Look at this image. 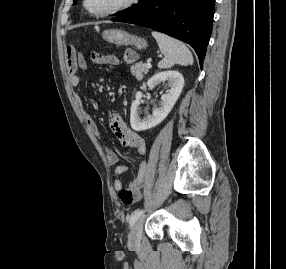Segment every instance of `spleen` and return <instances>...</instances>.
<instances>
[{
  "instance_id": "3e777b00",
  "label": "spleen",
  "mask_w": 286,
  "mask_h": 269,
  "mask_svg": "<svg viewBox=\"0 0 286 269\" xmlns=\"http://www.w3.org/2000/svg\"><path fill=\"white\" fill-rule=\"evenodd\" d=\"M152 36L165 56L158 63L160 69L171 68L175 64L183 66L193 64L192 53L184 43L157 31H153Z\"/></svg>"
}]
</instances>
